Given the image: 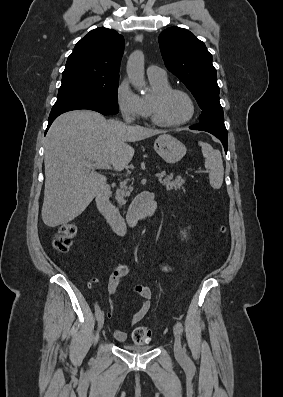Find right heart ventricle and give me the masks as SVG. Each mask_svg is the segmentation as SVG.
Here are the masks:
<instances>
[{
  "label": "right heart ventricle",
  "mask_w": 283,
  "mask_h": 397,
  "mask_svg": "<svg viewBox=\"0 0 283 397\" xmlns=\"http://www.w3.org/2000/svg\"><path fill=\"white\" fill-rule=\"evenodd\" d=\"M149 81H150V84L153 89V94L151 96L141 97V100H142V103L144 106V110H145L144 116H146V117L150 116V101H151L152 96L161 90L171 87L167 78H164V79L149 78Z\"/></svg>",
  "instance_id": "obj_1"
}]
</instances>
